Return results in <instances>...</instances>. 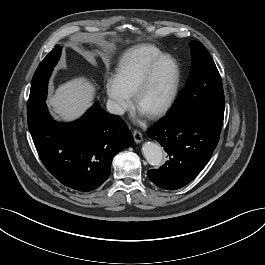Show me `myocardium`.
<instances>
[{
    "instance_id": "myocardium-1",
    "label": "myocardium",
    "mask_w": 265,
    "mask_h": 265,
    "mask_svg": "<svg viewBox=\"0 0 265 265\" xmlns=\"http://www.w3.org/2000/svg\"><path fill=\"white\" fill-rule=\"evenodd\" d=\"M164 61H170L172 63L173 73H174L173 83L169 95L167 99L164 101V103L157 109L146 114L147 117L152 119L165 115L173 107L176 101L180 86V80H181V71L177 60L173 56L168 54H162L161 56L157 57L155 60L151 62V64L147 68L146 72L144 73V75L142 76V78L140 79L139 83L137 84V86L135 87L132 93L133 106L137 108L138 101L145 92V90L147 89V87L149 86L156 72V69Z\"/></svg>"
}]
</instances>
